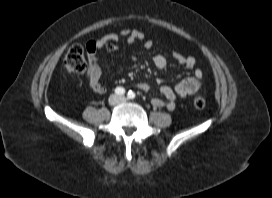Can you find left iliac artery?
<instances>
[{
    "label": "left iliac artery",
    "mask_w": 272,
    "mask_h": 198,
    "mask_svg": "<svg viewBox=\"0 0 272 198\" xmlns=\"http://www.w3.org/2000/svg\"><path fill=\"white\" fill-rule=\"evenodd\" d=\"M127 97L129 98V99H134L135 98V93L133 92V91H129L128 92V94H127Z\"/></svg>",
    "instance_id": "left-iliac-artery-1"
}]
</instances>
